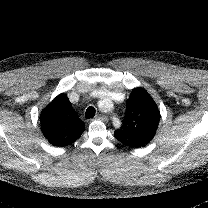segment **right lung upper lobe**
Masks as SVG:
<instances>
[{"label": "right lung upper lobe", "instance_id": "right-lung-upper-lobe-1", "mask_svg": "<svg viewBox=\"0 0 208 208\" xmlns=\"http://www.w3.org/2000/svg\"><path fill=\"white\" fill-rule=\"evenodd\" d=\"M40 124L44 136L53 146L57 147L72 144L85 129L84 123L77 116L65 93L55 97L42 110Z\"/></svg>", "mask_w": 208, "mask_h": 208}]
</instances>
